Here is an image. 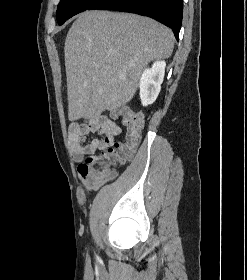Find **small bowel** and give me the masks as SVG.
I'll return each instance as SVG.
<instances>
[{"label":"small bowel","mask_w":247,"mask_h":280,"mask_svg":"<svg viewBox=\"0 0 247 280\" xmlns=\"http://www.w3.org/2000/svg\"><path fill=\"white\" fill-rule=\"evenodd\" d=\"M121 132L120 125L107 116H99L70 124L69 138L73 149V159L79 164L78 173L85 189L96 190L115 176V172H113L112 177L109 179L94 178L84 173L82 166L86 159L94 155L97 150L104 151L112 146ZM94 133L98 134V136L92 137L87 141V138Z\"/></svg>","instance_id":"obj_1"}]
</instances>
